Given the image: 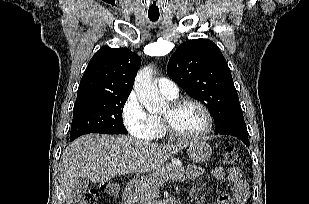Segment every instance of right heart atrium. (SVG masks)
<instances>
[{
	"label": "right heart atrium",
	"instance_id": "d8ad5b80",
	"mask_svg": "<svg viewBox=\"0 0 309 204\" xmlns=\"http://www.w3.org/2000/svg\"><path fill=\"white\" fill-rule=\"evenodd\" d=\"M121 114L123 123L132 136L145 140L154 138L155 124L134 92L125 100Z\"/></svg>",
	"mask_w": 309,
	"mask_h": 204
}]
</instances>
